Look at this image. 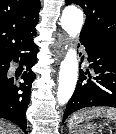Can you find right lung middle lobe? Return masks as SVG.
Instances as JSON below:
<instances>
[{"instance_id":"obj_1","label":"right lung middle lobe","mask_w":116,"mask_h":134,"mask_svg":"<svg viewBox=\"0 0 116 134\" xmlns=\"http://www.w3.org/2000/svg\"><path fill=\"white\" fill-rule=\"evenodd\" d=\"M7 78V66L5 62H0V82L6 80Z\"/></svg>"}]
</instances>
